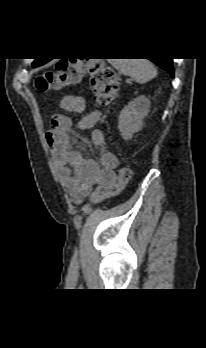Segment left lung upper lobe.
I'll return each mask as SVG.
<instances>
[{
  "label": "left lung upper lobe",
  "mask_w": 206,
  "mask_h": 348,
  "mask_svg": "<svg viewBox=\"0 0 206 348\" xmlns=\"http://www.w3.org/2000/svg\"><path fill=\"white\" fill-rule=\"evenodd\" d=\"M46 62H47V61L42 60V59H36V60L32 63V66H33V67H38V66L43 65V64L46 63Z\"/></svg>",
  "instance_id": "5c2ea615"
}]
</instances>
